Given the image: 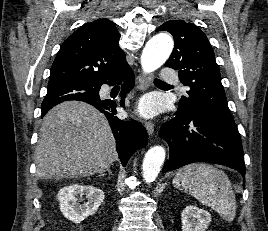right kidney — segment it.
Masks as SVG:
<instances>
[{"instance_id":"right-kidney-1","label":"right kidney","mask_w":268,"mask_h":231,"mask_svg":"<svg viewBox=\"0 0 268 231\" xmlns=\"http://www.w3.org/2000/svg\"><path fill=\"white\" fill-rule=\"evenodd\" d=\"M85 195L87 202L79 204L78 196ZM57 198L60 202V211L70 221L78 224L90 215H94L104 200V193L91 185L72 184L62 188Z\"/></svg>"}]
</instances>
